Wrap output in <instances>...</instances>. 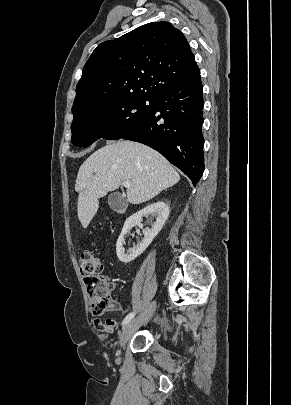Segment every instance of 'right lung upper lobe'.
Masks as SVG:
<instances>
[{
	"instance_id": "right-lung-upper-lobe-1",
	"label": "right lung upper lobe",
	"mask_w": 291,
	"mask_h": 405,
	"mask_svg": "<svg viewBox=\"0 0 291 405\" xmlns=\"http://www.w3.org/2000/svg\"><path fill=\"white\" fill-rule=\"evenodd\" d=\"M199 74L182 32L168 22H151L96 47L77 84L72 113L126 96L152 99Z\"/></svg>"
}]
</instances>
